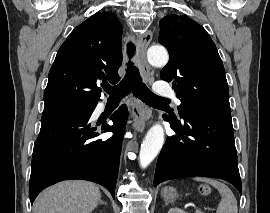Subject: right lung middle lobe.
<instances>
[{
	"instance_id": "obj_1",
	"label": "right lung middle lobe",
	"mask_w": 270,
	"mask_h": 213,
	"mask_svg": "<svg viewBox=\"0 0 270 213\" xmlns=\"http://www.w3.org/2000/svg\"><path fill=\"white\" fill-rule=\"evenodd\" d=\"M96 104L81 102H61L45 106L43 113L73 111L86 113L94 108Z\"/></svg>"
}]
</instances>
